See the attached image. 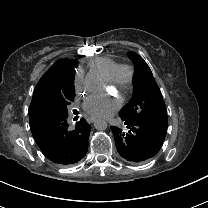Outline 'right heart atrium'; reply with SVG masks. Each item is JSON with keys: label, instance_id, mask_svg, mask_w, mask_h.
<instances>
[{"label": "right heart atrium", "instance_id": "right-heart-atrium-1", "mask_svg": "<svg viewBox=\"0 0 208 208\" xmlns=\"http://www.w3.org/2000/svg\"><path fill=\"white\" fill-rule=\"evenodd\" d=\"M73 90L77 95H86L88 89L86 87L85 76L82 71L78 70L72 81Z\"/></svg>", "mask_w": 208, "mask_h": 208}]
</instances>
